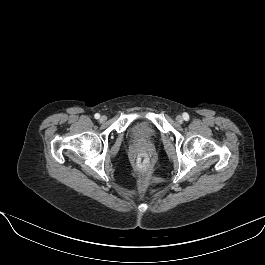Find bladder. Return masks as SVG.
<instances>
[{"mask_svg": "<svg viewBox=\"0 0 265 265\" xmlns=\"http://www.w3.org/2000/svg\"><path fill=\"white\" fill-rule=\"evenodd\" d=\"M128 136L135 142L152 143L158 138V131L152 122L140 121L128 129Z\"/></svg>", "mask_w": 265, "mask_h": 265, "instance_id": "obj_1", "label": "bladder"}]
</instances>
